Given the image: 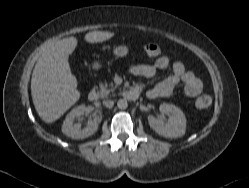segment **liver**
<instances>
[{
  "instance_id": "liver-1",
  "label": "liver",
  "mask_w": 249,
  "mask_h": 188,
  "mask_svg": "<svg viewBox=\"0 0 249 188\" xmlns=\"http://www.w3.org/2000/svg\"><path fill=\"white\" fill-rule=\"evenodd\" d=\"M115 34L92 31L85 35L88 43H101ZM75 37L49 44L39 57L31 79V94L35 109L46 123L59 119L80 99L77 79L69 66V55L77 46Z\"/></svg>"
}]
</instances>
